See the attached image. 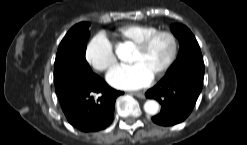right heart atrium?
Wrapping results in <instances>:
<instances>
[{"instance_id": "right-heart-atrium-1", "label": "right heart atrium", "mask_w": 247, "mask_h": 145, "mask_svg": "<svg viewBox=\"0 0 247 145\" xmlns=\"http://www.w3.org/2000/svg\"><path fill=\"white\" fill-rule=\"evenodd\" d=\"M85 57L87 62L99 72L108 71L116 63L113 45L102 33L96 34L88 42Z\"/></svg>"}]
</instances>
